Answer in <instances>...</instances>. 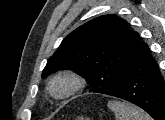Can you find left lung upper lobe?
Wrapping results in <instances>:
<instances>
[{
    "label": "left lung upper lobe",
    "instance_id": "5c2ea615",
    "mask_svg": "<svg viewBox=\"0 0 165 120\" xmlns=\"http://www.w3.org/2000/svg\"><path fill=\"white\" fill-rule=\"evenodd\" d=\"M141 42L137 32L114 14L97 17L71 32L48 60L42 77L71 69L90 84V92L109 94L123 79Z\"/></svg>",
    "mask_w": 165,
    "mask_h": 120
}]
</instances>
